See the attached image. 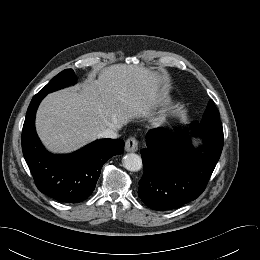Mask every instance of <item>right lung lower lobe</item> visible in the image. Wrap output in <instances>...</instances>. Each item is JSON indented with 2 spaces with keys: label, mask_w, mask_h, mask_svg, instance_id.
Returning a JSON list of instances; mask_svg holds the SVG:
<instances>
[{
  "label": "right lung lower lobe",
  "mask_w": 260,
  "mask_h": 260,
  "mask_svg": "<svg viewBox=\"0 0 260 260\" xmlns=\"http://www.w3.org/2000/svg\"><path fill=\"white\" fill-rule=\"evenodd\" d=\"M45 93H37L27 110L22 130V150L39 191L63 203H77L89 197L103 164L124 152V141L101 139L72 154L54 155L40 142L35 115Z\"/></svg>",
  "instance_id": "right-lung-lower-lobe-1"
}]
</instances>
